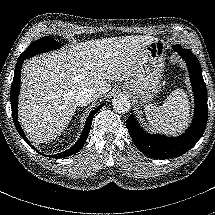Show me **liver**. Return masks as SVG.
Segmentation results:
<instances>
[{"label":"liver","mask_w":215,"mask_h":215,"mask_svg":"<svg viewBox=\"0 0 215 215\" xmlns=\"http://www.w3.org/2000/svg\"><path fill=\"white\" fill-rule=\"evenodd\" d=\"M156 38L122 36L87 41L28 60L22 71L20 123L36 145L56 139L67 127L83 87L108 95L111 83L131 78Z\"/></svg>","instance_id":"6515ba94"}]
</instances>
